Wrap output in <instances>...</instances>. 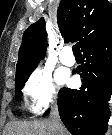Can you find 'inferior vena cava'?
Returning a JSON list of instances; mask_svg holds the SVG:
<instances>
[{
    "mask_svg": "<svg viewBox=\"0 0 112 135\" xmlns=\"http://www.w3.org/2000/svg\"><path fill=\"white\" fill-rule=\"evenodd\" d=\"M50 123L54 129V132H55L54 135H61L63 126L60 120L57 104H55L52 108V111L50 114Z\"/></svg>",
    "mask_w": 112,
    "mask_h": 135,
    "instance_id": "inferior-vena-cava-1",
    "label": "inferior vena cava"
}]
</instances>
